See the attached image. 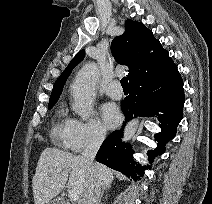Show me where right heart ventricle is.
<instances>
[{"label": "right heart ventricle", "mask_w": 212, "mask_h": 204, "mask_svg": "<svg viewBox=\"0 0 212 204\" xmlns=\"http://www.w3.org/2000/svg\"><path fill=\"white\" fill-rule=\"evenodd\" d=\"M71 118L68 116L66 110L61 107L57 110L51 130L52 139L59 143L66 145V139Z\"/></svg>", "instance_id": "e07e8e85"}]
</instances>
